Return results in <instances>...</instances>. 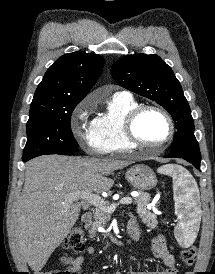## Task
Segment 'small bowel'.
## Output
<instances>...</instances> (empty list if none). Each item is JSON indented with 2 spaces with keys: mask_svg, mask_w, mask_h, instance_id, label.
<instances>
[{
  "mask_svg": "<svg viewBox=\"0 0 215 274\" xmlns=\"http://www.w3.org/2000/svg\"><path fill=\"white\" fill-rule=\"evenodd\" d=\"M129 227H133L139 230V223L137 221H131ZM95 251L96 250L94 246L90 245L86 248V252L89 255L95 254ZM152 251L155 257L160 259L166 268L162 271H156V272H130L129 274H177L176 258L169 251L167 247V242L164 236L157 235L152 239ZM84 260L85 258L83 255H79L75 258H69L70 267L68 271L71 272V274H81ZM92 274H100V273L93 272ZM185 274H192V273L186 272Z\"/></svg>",
  "mask_w": 215,
  "mask_h": 274,
  "instance_id": "c3829d8e",
  "label": "small bowel"
}]
</instances>
